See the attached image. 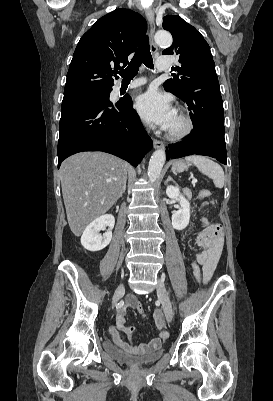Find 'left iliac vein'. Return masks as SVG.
Segmentation results:
<instances>
[{
    "label": "left iliac vein",
    "mask_w": 273,
    "mask_h": 401,
    "mask_svg": "<svg viewBox=\"0 0 273 401\" xmlns=\"http://www.w3.org/2000/svg\"><path fill=\"white\" fill-rule=\"evenodd\" d=\"M157 291H158V298L161 300L162 303L165 318L167 321L171 322L173 319L172 303L170 298L168 297L167 289L162 279L158 280Z\"/></svg>",
    "instance_id": "1"
}]
</instances>
